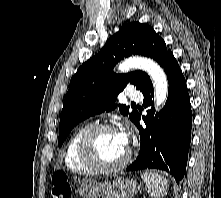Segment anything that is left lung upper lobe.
Listing matches in <instances>:
<instances>
[{
    "label": "left lung upper lobe",
    "instance_id": "left-lung-upper-lobe-1",
    "mask_svg": "<svg viewBox=\"0 0 221 198\" xmlns=\"http://www.w3.org/2000/svg\"><path fill=\"white\" fill-rule=\"evenodd\" d=\"M170 53L164 40L148 24L134 22L121 27L71 78L60 115L58 146L79 122L115 109L116 96L127 84H133L142 91L151 83L150 77L142 71L115 74L113 68L117 62L139 54L153 58L162 67ZM128 109L126 105H119L120 112L135 122L139 113L135 110L129 113Z\"/></svg>",
    "mask_w": 221,
    "mask_h": 198
}]
</instances>
